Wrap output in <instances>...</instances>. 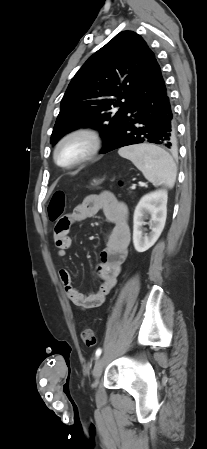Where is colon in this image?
<instances>
[{
  "mask_svg": "<svg viewBox=\"0 0 207 449\" xmlns=\"http://www.w3.org/2000/svg\"><path fill=\"white\" fill-rule=\"evenodd\" d=\"M120 184H122V182H120ZM65 204H66L65 193L63 191L54 192L48 204L47 213L49 219L52 222L56 223L54 228L56 232L59 229L57 223L62 219V215L65 210ZM81 337L87 346H94L96 344V336L94 334V331L89 327L84 328V330L81 333Z\"/></svg>",
  "mask_w": 207,
  "mask_h": 449,
  "instance_id": "1",
  "label": "colon"
}]
</instances>
